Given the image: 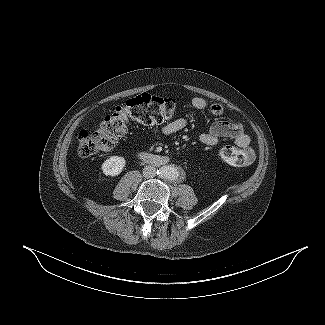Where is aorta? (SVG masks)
I'll return each instance as SVG.
<instances>
[{
	"label": "aorta",
	"instance_id": "aorta-1",
	"mask_svg": "<svg viewBox=\"0 0 325 325\" xmlns=\"http://www.w3.org/2000/svg\"><path fill=\"white\" fill-rule=\"evenodd\" d=\"M157 173L160 177L168 180H176L179 177V170L175 166H162Z\"/></svg>",
	"mask_w": 325,
	"mask_h": 325
}]
</instances>
